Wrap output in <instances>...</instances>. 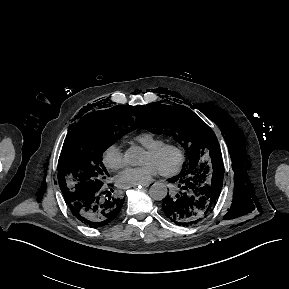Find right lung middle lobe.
<instances>
[{
  "label": "right lung middle lobe",
  "mask_w": 289,
  "mask_h": 289,
  "mask_svg": "<svg viewBox=\"0 0 289 289\" xmlns=\"http://www.w3.org/2000/svg\"><path fill=\"white\" fill-rule=\"evenodd\" d=\"M128 111L113 117L81 119L73 127L63 146L58 172L65 199L103 187L108 175L101 159L103 152L138 127L137 122L130 121Z\"/></svg>",
  "instance_id": "obj_1"
}]
</instances>
